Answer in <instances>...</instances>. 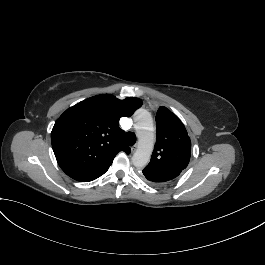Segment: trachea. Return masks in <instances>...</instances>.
Listing matches in <instances>:
<instances>
[{"label": "trachea", "mask_w": 265, "mask_h": 265, "mask_svg": "<svg viewBox=\"0 0 265 265\" xmlns=\"http://www.w3.org/2000/svg\"><path fill=\"white\" fill-rule=\"evenodd\" d=\"M124 142L128 146H132L136 142V135L133 132H127L124 136Z\"/></svg>", "instance_id": "trachea-1"}]
</instances>
